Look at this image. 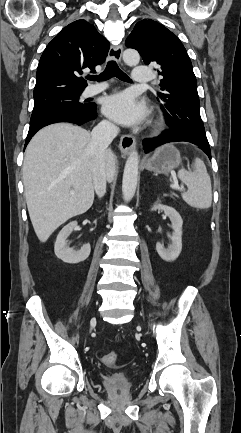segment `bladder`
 I'll return each instance as SVG.
<instances>
[{
    "instance_id": "bladder-1",
    "label": "bladder",
    "mask_w": 241,
    "mask_h": 433,
    "mask_svg": "<svg viewBox=\"0 0 241 433\" xmlns=\"http://www.w3.org/2000/svg\"><path fill=\"white\" fill-rule=\"evenodd\" d=\"M102 382L109 389L124 391L133 386L134 378L126 372H113L103 376Z\"/></svg>"
}]
</instances>
